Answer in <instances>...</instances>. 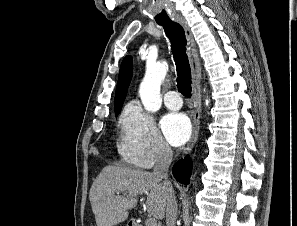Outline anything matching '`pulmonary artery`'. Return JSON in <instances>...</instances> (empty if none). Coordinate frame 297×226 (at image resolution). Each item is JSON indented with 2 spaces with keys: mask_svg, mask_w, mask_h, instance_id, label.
I'll return each instance as SVG.
<instances>
[{
  "mask_svg": "<svg viewBox=\"0 0 297 226\" xmlns=\"http://www.w3.org/2000/svg\"><path fill=\"white\" fill-rule=\"evenodd\" d=\"M164 103L171 110H178L182 106V100L176 91H169L164 96Z\"/></svg>",
  "mask_w": 297,
  "mask_h": 226,
  "instance_id": "e3ab8cb5",
  "label": "pulmonary artery"
}]
</instances>
